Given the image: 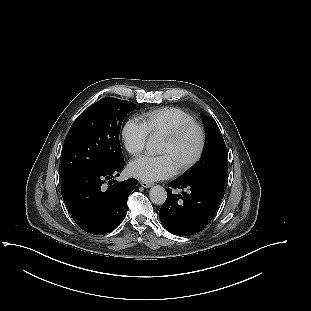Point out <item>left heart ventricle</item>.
<instances>
[{
	"label": "left heart ventricle",
	"instance_id": "1",
	"mask_svg": "<svg viewBox=\"0 0 311 311\" xmlns=\"http://www.w3.org/2000/svg\"><path fill=\"white\" fill-rule=\"evenodd\" d=\"M197 133L192 130L187 132L179 141L171 144L165 140L161 141L158 152L167 155L173 166L176 167L181 162L187 160L194 153L197 146Z\"/></svg>",
	"mask_w": 311,
	"mask_h": 311
}]
</instances>
